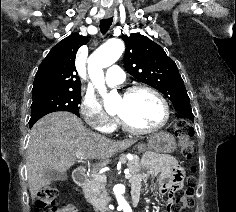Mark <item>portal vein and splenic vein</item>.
Masks as SVG:
<instances>
[{"label":"portal vein and splenic vein","instance_id":"portal-vein-and-splenic-vein-1","mask_svg":"<svg viewBox=\"0 0 236 212\" xmlns=\"http://www.w3.org/2000/svg\"><path fill=\"white\" fill-rule=\"evenodd\" d=\"M76 157H77L78 159H80V160L83 159V157H82V155H81L80 153H76ZM124 173H125V178H126V179H128V178L131 177L130 172H129L128 169H126V170L124 171ZM91 176H92L93 178L97 179V180H106V176H105V175H100V174H98V173H92Z\"/></svg>","mask_w":236,"mask_h":212}]
</instances>
